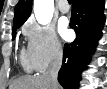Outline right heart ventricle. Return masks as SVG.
<instances>
[{
  "label": "right heart ventricle",
  "mask_w": 107,
  "mask_h": 89,
  "mask_svg": "<svg viewBox=\"0 0 107 89\" xmlns=\"http://www.w3.org/2000/svg\"><path fill=\"white\" fill-rule=\"evenodd\" d=\"M20 62L22 67L26 70V71H31L33 70V66L29 57V54L27 51L23 50L20 54Z\"/></svg>",
  "instance_id": "obj_1"
}]
</instances>
